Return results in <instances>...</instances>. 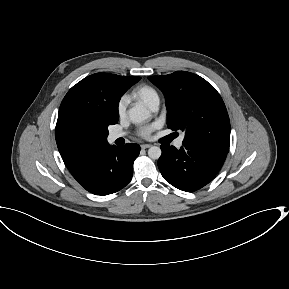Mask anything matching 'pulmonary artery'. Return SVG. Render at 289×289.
<instances>
[{"mask_svg":"<svg viewBox=\"0 0 289 289\" xmlns=\"http://www.w3.org/2000/svg\"><path fill=\"white\" fill-rule=\"evenodd\" d=\"M158 107H159V100L153 102V104L150 106V109L152 111H157L158 110ZM125 136V133L124 132H112L109 134L108 136V140L113 142L115 140H117L118 138H121V137H124ZM183 139H184V136L181 135L175 142V146L177 148H180L183 144Z\"/></svg>","mask_w":289,"mask_h":289,"instance_id":"e3ab8cb5","label":"pulmonary artery"}]
</instances>
